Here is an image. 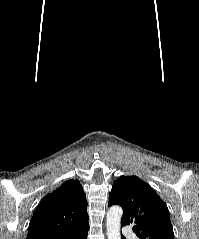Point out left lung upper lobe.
Here are the masks:
<instances>
[{
  "instance_id": "left-lung-upper-lobe-1",
  "label": "left lung upper lobe",
  "mask_w": 199,
  "mask_h": 239,
  "mask_svg": "<svg viewBox=\"0 0 199 239\" xmlns=\"http://www.w3.org/2000/svg\"><path fill=\"white\" fill-rule=\"evenodd\" d=\"M108 205L123 207L121 226L131 224L140 239H174L166 204L138 177L122 175L118 178L112 186Z\"/></svg>"
}]
</instances>
